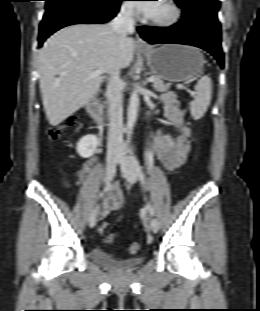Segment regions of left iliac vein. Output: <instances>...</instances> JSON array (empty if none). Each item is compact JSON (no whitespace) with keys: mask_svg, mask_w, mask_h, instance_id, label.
Returning a JSON list of instances; mask_svg holds the SVG:
<instances>
[{"mask_svg":"<svg viewBox=\"0 0 260 311\" xmlns=\"http://www.w3.org/2000/svg\"><path fill=\"white\" fill-rule=\"evenodd\" d=\"M118 162L121 164V168L123 171V174L126 178V180L130 184H134L137 179L138 175L135 170V166L133 164L132 158L129 155L128 151L126 150V146L122 144L119 147V152H118ZM149 228L153 233H157L159 230V222L156 218H151Z\"/></svg>","mask_w":260,"mask_h":311,"instance_id":"left-iliac-vein-1","label":"left iliac vein"}]
</instances>
